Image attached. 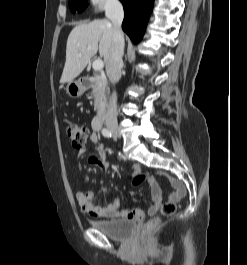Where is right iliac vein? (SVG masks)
<instances>
[{
	"mask_svg": "<svg viewBox=\"0 0 247 265\" xmlns=\"http://www.w3.org/2000/svg\"><path fill=\"white\" fill-rule=\"evenodd\" d=\"M110 131L117 137H120V132L118 127H111Z\"/></svg>",
	"mask_w": 247,
	"mask_h": 265,
	"instance_id": "63e3f726",
	"label": "right iliac vein"
}]
</instances>
